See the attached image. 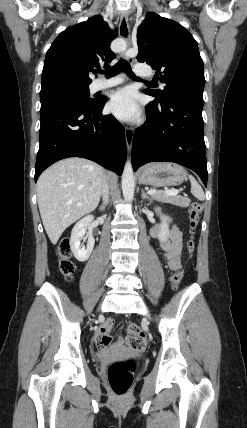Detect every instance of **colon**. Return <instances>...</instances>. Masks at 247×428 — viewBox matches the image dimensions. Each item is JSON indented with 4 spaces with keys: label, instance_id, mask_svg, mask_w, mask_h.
Here are the masks:
<instances>
[{
    "label": "colon",
    "instance_id": "colon-1",
    "mask_svg": "<svg viewBox=\"0 0 247 428\" xmlns=\"http://www.w3.org/2000/svg\"><path fill=\"white\" fill-rule=\"evenodd\" d=\"M202 205L198 202H193L188 211V225L190 238L187 241L186 249L189 254L194 251L195 243L193 235L199 223ZM71 244L69 239H62L57 246L58 265L61 273L68 279H71L75 271V265L71 260ZM183 271L176 270L170 277V281L174 289H177L182 281ZM114 319L109 318L100 329L101 335L98 341V346L101 349L109 347L112 343V338L109 335L110 330L114 326ZM127 334L123 340L124 344L136 351L144 349L146 346V338L141 328L136 324H129L126 330ZM136 365L133 360H121L113 362L107 371L109 384L112 391L117 396L125 395L133 382V374Z\"/></svg>",
    "mask_w": 247,
    "mask_h": 428
}]
</instances>
